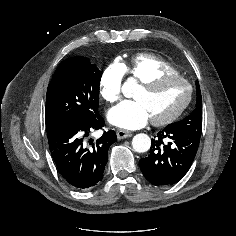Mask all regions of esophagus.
<instances>
[{"mask_svg":"<svg viewBox=\"0 0 236 236\" xmlns=\"http://www.w3.org/2000/svg\"><path fill=\"white\" fill-rule=\"evenodd\" d=\"M116 134H117L118 139H124V138L130 137L132 135V133L130 131L122 130V129H119L116 132Z\"/></svg>","mask_w":236,"mask_h":236,"instance_id":"34e87169","label":"esophagus"}]
</instances>
